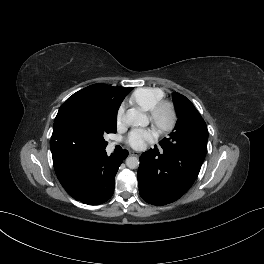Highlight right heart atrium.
<instances>
[{
	"label": "right heart atrium",
	"instance_id": "1",
	"mask_svg": "<svg viewBox=\"0 0 264 264\" xmlns=\"http://www.w3.org/2000/svg\"><path fill=\"white\" fill-rule=\"evenodd\" d=\"M123 114H124V108L121 106L116 114V122L117 124H120L122 122L123 119Z\"/></svg>",
	"mask_w": 264,
	"mask_h": 264
}]
</instances>
